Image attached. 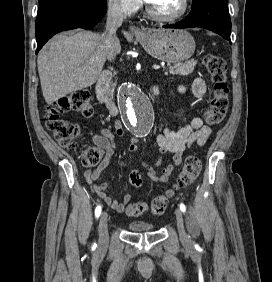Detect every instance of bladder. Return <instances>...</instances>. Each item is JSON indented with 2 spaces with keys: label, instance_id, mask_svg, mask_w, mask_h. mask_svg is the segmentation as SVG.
I'll return each instance as SVG.
<instances>
[{
  "label": "bladder",
  "instance_id": "obj_1",
  "mask_svg": "<svg viewBox=\"0 0 272 282\" xmlns=\"http://www.w3.org/2000/svg\"><path fill=\"white\" fill-rule=\"evenodd\" d=\"M128 227L133 232L152 231L154 229V225L152 223L140 220H134L129 222Z\"/></svg>",
  "mask_w": 272,
  "mask_h": 282
}]
</instances>
